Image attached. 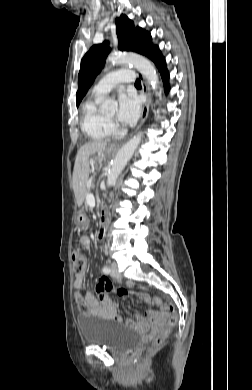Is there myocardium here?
Returning a JSON list of instances; mask_svg holds the SVG:
<instances>
[{"label":"myocardium","instance_id":"myocardium-1","mask_svg":"<svg viewBox=\"0 0 252 390\" xmlns=\"http://www.w3.org/2000/svg\"><path fill=\"white\" fill-rule=\"evenodd\" d=\"M108 120L112 121V118H108Z\"/></svg>","mask_w":252,"mask_h":390}]
</instances>
